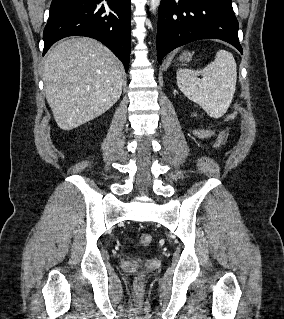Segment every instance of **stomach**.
<instances>
[{
    "instance_id": "0dacf381",
    "label": "stomach",
    "mask_w": 284,
    "mask_h": 319,
    "mask_svg": "<svg viewBox=\"0 0 284 319\" xmlns=\"http://www.w3.org/2000/svg\"><path fill=\"white\" fill-rule=\"evenodd\" d=\"M193 54L190 52H183L180 56H179V61L181 62H189L192 58Z\"/></svg>"
}]
</instances>
